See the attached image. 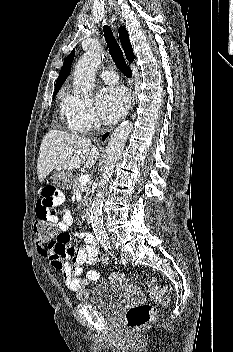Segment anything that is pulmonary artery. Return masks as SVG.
Masks as SVG:
<instances>
[{"mask_svg":"<svg viewBox=\"0 0 233 352\" xmlns=\"http://www.w3.org/2000/svg\"><path fill=\"white\" fill-rule=\"evenodd\" d=\"M101 79L108 84H115L118 81V76L114 71H102L100 73Z\"/></svg>","mask_w":233,"mask_h":352,"instance_id":"obj_1","label":"pulmonary artery"}]
</instances>
